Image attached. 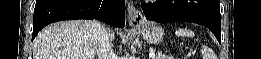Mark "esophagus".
Returning a JSON list of instances; mask_svg holds the SVG:
<instances>
[{
	"mask_svg": "<svg viewBox=\"0 0 261 59\" xmlns=\"http://www.w3.org/2000/svg\"><path fill=\"white\" fill-rule=\"evenodd\" d=\"M128 19L132 26H138L143 23L144 17L140 10L136 9L132 1L127 4Z\"/></svg>",
	"mask_w": 261,
	"mask_h": 59,
	"instance_id": "1",
	"label": "esophagus"
}]
</instances>
